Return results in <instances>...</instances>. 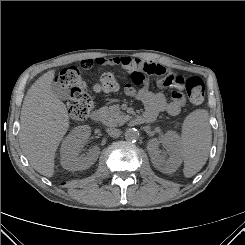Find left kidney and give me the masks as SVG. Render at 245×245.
I'll list each match as a JSON object with an SVG mask.
<instances>
[{
  "label": "left kidney",
  "mask_w": 245,
  "mask_h": 245,
  "mask_svg": "<svg viewBox=\"0 0 245 245\" xmlns=\"http://www.w3.org/2000/svg\"><path fill=\"white\" fill-rule=\"evenodd\" d=\"M160 143L167 150V153L161 152ZM147 150L153 165L162 172H174L182 163L181 140L174 131H168L159 139H151L147 144Z\"/></svg>",
  "instance_id": "1"
}]
</instances>
